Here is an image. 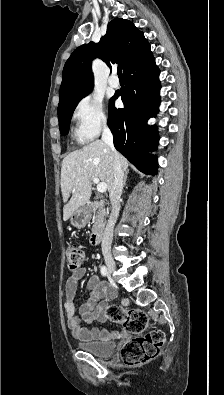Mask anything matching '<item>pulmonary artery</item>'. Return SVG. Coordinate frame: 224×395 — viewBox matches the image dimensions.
Returning <instances> with one entry per match:
<instances>
[{"mask_svg": "<svg viewBox=\"0 0 224 395\" xmlns=\"http://www.w3.org/2000/svg\"><path fill=\"white\" fill-rule=\"evenodd\" d=\"M108 84L112 88H117L119 86V80L115 75H112L108 80Z\"/></svg>", "mask_w": 224, "mask_h": 395, "instance_id": "1", "label": "pulmonary artery"}]
</instances>
